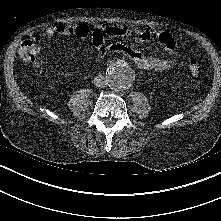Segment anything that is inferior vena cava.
Here are the masks:
<instances>
[{
  "label": "inferior vena cava",
  "mask_w": 221,
  "mask_h": 221,
  "mask_svg": "<svg viewBox=\"0 0 221 221\" xmlns=\"http://www.w3.org/2000/svg\"><path fill=\"white\" fill-rule=\"evenodd\" d=\"M93 82H94L95 86L100 87V88H104L107 86V79L101 74L97 75L94 78Z\"/></svg>",
  "instance_id": "1"
}]
</instances>
